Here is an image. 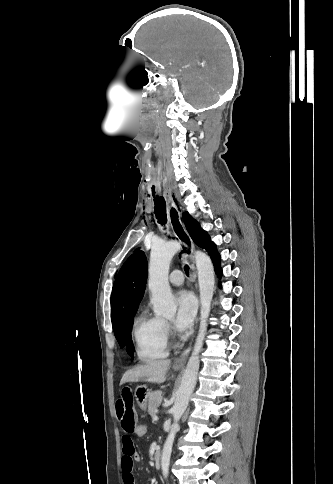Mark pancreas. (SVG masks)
Listing matches in <instances>:
<instances>
[{"label":"pancreas","mask_w":333,"mask_h":484,"mask_svg":"<svg viewBox=\"0 0 333 484\" xmlns=\"http://www.w3.org/2000/svg\"><path fill=\"white\" fill-rule=\"evenodd\" d=\"M161 396V391H155L148 398V413L152 418L156 416V409L160 405Z\"/></svg>","instance_id":"pancreas-1"}]
</instances>
